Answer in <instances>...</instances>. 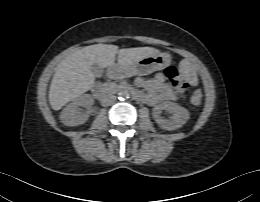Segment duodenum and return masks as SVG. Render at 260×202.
Segmentation results:
<instances>
[{
    "mask_svg": "<svg viewBox=\"0 0 260 202\" xmlns=\"http://www.w3.org/2000/svg\"><path fill=\"white\" fill-rule=\"evenodd\" d=\"M121 73H122L121 70L119 68H116V67L109 69V72H108V74L111 78H117L121 75ZM93 89L96 91V93H101V90L98 89L96 86H94ZM133 95L135 97H137L138 92H133Z\"/></svg>",
    "mask_w": 260,
    "mask_h": 202,
    "instance_id": "410a0bca",
    "label": "duodenum"
}]
</instances>
